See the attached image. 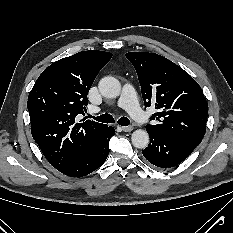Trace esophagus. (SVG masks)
<instances>
[{"label":"esophagus","mask_w":233,"mask_h":233,"mask_svg":"<svg viewBox=\"0 0 233 233\" xmlns=\"http://www.w3.org/2000/svg\"><path fill=\"white\" fill-rule=\"evenodd\" d=\"M121 129L124 131V132H130L133 130V127L132 126H122Z\"/></svg>","instance_id":"esophagus-1"}]
</instances>
